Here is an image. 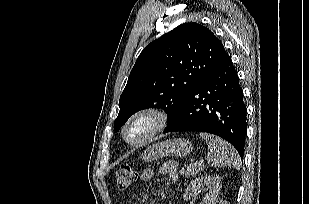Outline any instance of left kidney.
Masks as SVG:
<instances>
[{"label": "left kidney", "instance_id": "1", "mask_svg": "<svg viewBox=\"0 0 309 204\" xmlns=\"http://www.w3.org/2000/svg\"><path fill=\"white\" fill-rule=\"evenodd\" d=\"M207 187L203 204H217L221 188V178L217 175H205L191 181L184 193V200L188 201L198 194L201 188Z\"/></svg>", "mask_w": 309, "mask_h": 204}]
</instances>
